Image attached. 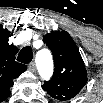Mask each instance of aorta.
I'll list each match as a JSON object with an SVG mask.
<instances>
[{
	"label": "aorta",
	"mask_w": 103,
	"mask_h": 103,
	"mask_svg": "<svg viewBox=\"0 0 103 103\" xmlns=\"http://www.w3.org/2000/svg\"><path fill=\"white\" fill-rule=\"evenodd\" d=\"M36 65L42 77L48 78L51 76L53 72V60L48 49H42L37 52Z\"/></svg>",
	"instance_id": "aorta-1"
}]
</instances>
